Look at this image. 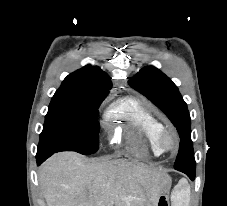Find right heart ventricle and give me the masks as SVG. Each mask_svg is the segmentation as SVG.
Masks as SVG:
<instances>
[{"label": "right heart ventricle", "instance_id": "1", "mask_svg": "<svg viewBox=\"0 0 227 206\" xmlns=\"http://www.w3.org/2000/svg\"><path fill=\"white\" fill-rule=\"evenodd\" d=\"M105 118L125 121L154 156L161 155L156 139L164 126L153 111L139 99L126 97L116 101L107 110Z\"/></svg>", "mask_w": 227, "mask_h": 206}]
</instances>
